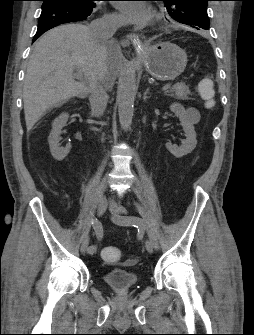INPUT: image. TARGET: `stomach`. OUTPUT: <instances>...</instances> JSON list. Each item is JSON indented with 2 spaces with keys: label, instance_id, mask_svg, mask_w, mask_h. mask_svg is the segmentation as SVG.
Wrapping results in <instances>:
<instances>
[{
  "label": "stomach",
  "instance_id": "stomach-1",
  "mask_svg": "<svg viewBox=\"0 0 254 335\" xmlns=\"http://www.w3.org/2000/svg\"><path fill=\"white\" fill-rule=\"evenodd\" d=\"M138 54L146 71L160 81L177 78L187 65V54L171 42H159L145 47Z\"/></svg>",
  "mask_w": 254,
  "mask_h": 335
}]
</instances>
